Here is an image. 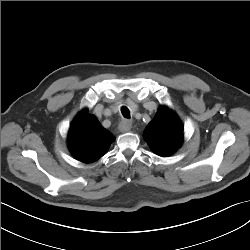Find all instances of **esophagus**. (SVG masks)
Instances as JSON below:
<instances>
[{"instance_id": "obj_1", "label": "esophagus", "mask_w": 250, "mask_h": 250, "mask_svg": "<svg viewBox=\"0 0 250 250\" xmlns=\"http://www.w3.org/2000/svg\"><path fill=\"white\" fill-rule=\"evenodd\" d=\"M118 128L122 133L129 132L132 128V122L124 119L119 123Z\"/></svg>"}]
</instances>
